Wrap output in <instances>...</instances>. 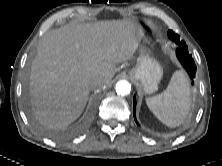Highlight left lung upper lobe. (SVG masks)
Returning a JSON list of instances; mask_svg holds the SVG:
<instances>
[{
	"instance_id": "left-lung-upper-lobe-1",
	"label": "left lung upper lobe",
	"mask_w": 222,
	"mask_h": 166,
	"mask_svg": "<svg viewBox=\"0 0 222 166\" xmlns=\"http://www.w3.org/2000/svg\"><path fill=\"white\" fill-rule=\"evenodd\" d=\"M168 36H169L170 39L175 41V43H177V44L178 43H182V44L185 43L184 41H181L179 36L175 32H173L172 30L168 31Z\"/></svg>"
}]
</instances>
